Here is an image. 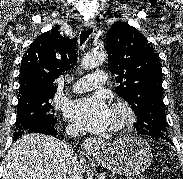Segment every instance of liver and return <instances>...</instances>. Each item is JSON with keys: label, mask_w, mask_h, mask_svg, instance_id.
Listing matches in <instances>:
<instances>
[{"label": "liver", "mask_w": 183, "mask_h": 179, "mask_svg": "<svg viewBox=\"0 0 183 179\" xmlns=\"http://www.w3.org/2000/svg\"><path fill=\"white\" fill-rule=\"evenodd\" d=\"M73 153L57 138L26 134L8 151L2 179H66L67 166ZM81 162L84 172V162Z\"/></svg>", "instance_id": "6515ba94"}]
</instances>
